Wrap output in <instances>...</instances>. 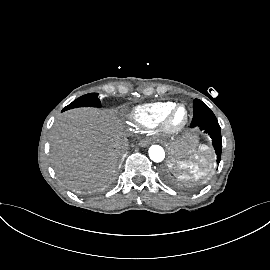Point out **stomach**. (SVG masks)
Listing matches in <instances>:
<instances>
[{
	"label": "stomach",
	"instance_id": "0dacf381",
	"mask_svg": "<svg viewBox=\"0 0 270 270\" xmlns=\"http://www.w3.org/2000/svg\"><path fill=\"white\" fill-rule=\"evenodd\" d=\"M197 145V136L192 132H187L168 144V167L177 178L187 177L188 171L183 164L184 159L195 152Z\"/></svg>",
	"mask_w": 270,
	"mask_h": 270
}]
</instances>
